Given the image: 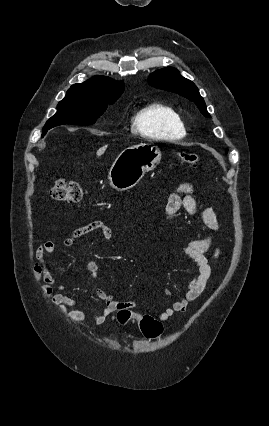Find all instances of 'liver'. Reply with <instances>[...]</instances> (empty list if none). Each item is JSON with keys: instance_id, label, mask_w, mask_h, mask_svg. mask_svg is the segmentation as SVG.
Here are the masks:
<instances>
[{"instance_id": "6515ba94", "label": "liver", "mask_w": 269, "mask_h": 426, "mask_svg": "<svg viewBox=\"0 0 269 426\" xmlns=\"http://www.w3.org/2000/svg\"><path fill=\"white\" fill-rule=\"evenodd\" d=\"M104 151H105V148L98 150L97 155H99V156L102 155L104 153Z\"/></svg>"}]
</instances>
